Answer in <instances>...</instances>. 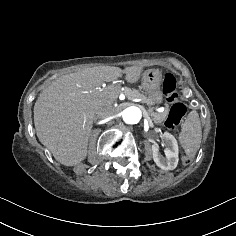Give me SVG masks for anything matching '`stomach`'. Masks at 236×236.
I'll return each mask as SVG.
<instances>
[{
	"label": "stomach",
	"mask_w": 236,
	"mask_h": 236,
	"mask_svg": "<svg viewBox=\"0 0 236 236\" xmlns=\"http://www.w3.org/2000/svg\"><path fill=\"white\" fill-rule=\"evenodd\" d=\"M162 74L158 69H152L144 72L142 78V89L146 92L147 101L160 105L164 102L161 90Z\"/></svg>",
	"instance_id": "stomach-1"
}]
</instances>
